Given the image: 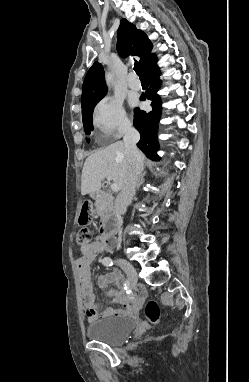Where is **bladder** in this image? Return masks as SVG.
<instances>
[{
  "label": "bladder",
  "mask_w": 249,
  "mask_h": 382,
  "mask_svg": "<svg viewBox=\"0 0 249 382\" xmlns=\"http://www.w3.org/2000/svg\"><path fill=\"white\" fill-rule=\"evenodd\" d=\"M135 327L131 317H106L92 322L86 329L89 339L110 346H117L125 342Z\"/></svg>",
  "instance_id": "bladder-1"
}]
</instances>
